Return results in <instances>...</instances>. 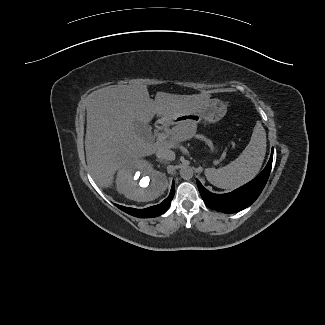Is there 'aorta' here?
Here are the masks:
<instances>
[{
    "label": "aorta",
    "instance_id": "762f6f07",
    "mask_svg": "<svg viewBox=\"0 0 325 325\" xmlns=\"http://www.w3.org/2000/svg\"><path fill=\"white\" fill-rule=\"evenodd\" d=\"M180 176L184 180H189L193 177V169L190 166H183L180 169Z\"/></svg>",
    "mask_w": 325,
    "mask_h": 325
}]
</instances>
